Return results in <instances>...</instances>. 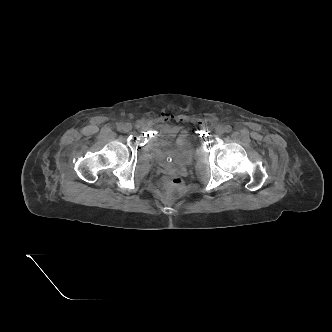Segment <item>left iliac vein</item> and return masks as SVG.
Masks as SVG:
<instances>
[{"instance_id":"1","label":"left iliac vein","mask_w":332,"mask_h":332,"mask_svg":"<svg viewBox=\"0 0 332 332\" xmlns=\"http://www.w3.org/2000/svg\"><path fill=\"white\" fill-rule=\"evenodd\" d=\"M224 132H226V131H225V128L223 126L219 125V126L216 127V133L223 134Z\"/></svg>"}]
</instances>
